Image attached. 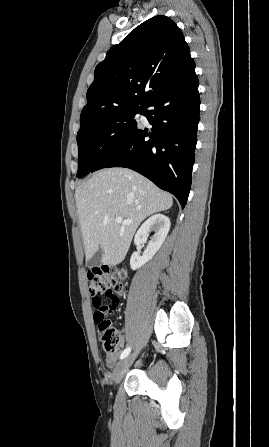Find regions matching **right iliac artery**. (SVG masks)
Masks as SVG:
<instances>
[{"label": "right iliac artery", "instance_id": "obj_1", "mask_svg": "<svg viewBox=\"0 0 269 447\" xmlns=\"http://www.w3.org/2000/svg\"><path fill=\"white\" fill-rule=\"evenodd\" d=\"M130 350H131L130 347L126 348V349L122 352V354H121V356H120V359H124V358H126V357L129 355Z\"/></svg>", "mask_w": 269, "mask_h": 447}]
</instances>
